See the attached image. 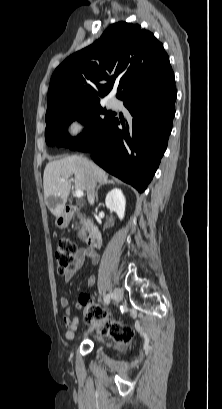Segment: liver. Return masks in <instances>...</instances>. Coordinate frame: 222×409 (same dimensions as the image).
<instances>
[{
  "label": "liver",
  "mask_w": 222,
  "mask_h": 409,
  "mask_svg": "<svg viewBox=\"0 0 222 409\" xmlns=\"http://www.w3.org/2000/svg\"><path fill=\"white\" fill-rule=\"evenodd\" d=\"M91 168L98 181L107 177L105 171L95 163L90 162ZM74 175L76 190L88 191L87 169L81 156L72 155L59 160L50 161L43 175L44 198L48 208L54 216H58L65 207L71 190V179ZM61 178H65L61 181ZM51 198V203H49Z\"/></svg>",
  "instance_id": "obj_1"
}]
</instances>
